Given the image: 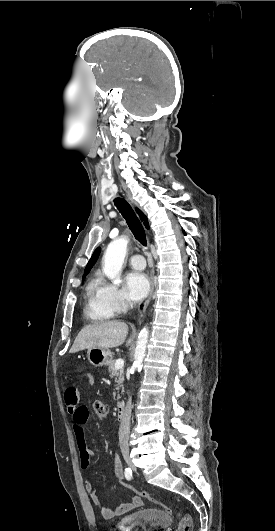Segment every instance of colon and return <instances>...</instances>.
<instances>
[{
    "label": "colon",
    "mask_w": 275,
    "mask_h": 531,
    "mask_svg": "<svg viewBox=\"0 0 275 531\" xmlns=\"http://www.w3.org/2000/svg\"><path fill=\"white\" fill-rule=\"evenodd\" d=\"M94 409H95V414L98 418H105L107 416V413H108V410H107V406L104 402L102 401H95L94 403ZM127 486L131 487V492L133 494H136L137 496H142V499H145L147 501H149L150 503L154 504V505H159V506H162V508L166 511V512H170L171 509L166 506L165 504H163V502H161L160 500L156 499V498H153L152 496H150L149 494L145 493V491L143 489H139V488H136V487H133L131 484H128ZM178 520H179V531H194V527H193V521H192V518L190 515L188 514H184V513H179L178 514Z\"/></svg>",
    "instance_id": "obj_1"
}]
</instances>
